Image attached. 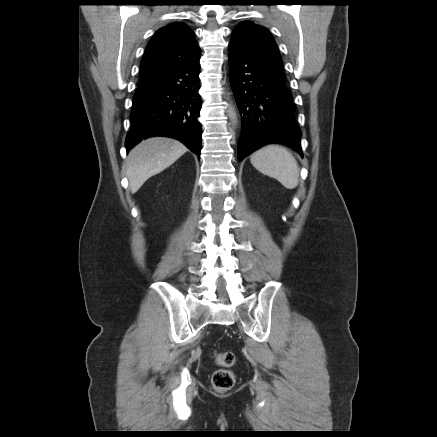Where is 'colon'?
I'll use <instances>...</instances> for the list:
<instances>
[{
    "label": "colon",
    "instance_id": "colon-1",
    "mask_svg": "<svg viewBox=\"0 0 437 437\" xmlns=\"http://www.w3.org/2000/svg\"><path fill=\"white\" fill-rule=\"evenodd\" d=\"M212 356L215 362L222 367L213 373V388L219 392L228 391L235 384V374L231 368L236 364V356L232 352H213Z\"/></svg>",
    "mask_w": 437,
    "mask_h": 437
}]
</instances>
